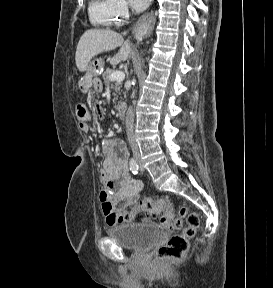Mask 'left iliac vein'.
<instances>
[{
	"mask_svg": "<svg viewBox=\"0 0 273 288\" xmlns=\"http://www.w3.org/2000/svg\"><path fill=\"white\" fill-rule=\"evenodd\" d=\"M138 164H139L140 170H141V171H144V166H143V164H142V162H141L140 159H138Z\"/></svg>",
	"mask_w": 273,
	"mask_h": 288,
	"instance_id": "left-iliac-vein-1",
	"label": "left iliac vein"
}]
</instances>
